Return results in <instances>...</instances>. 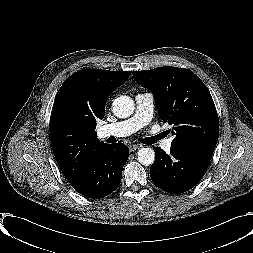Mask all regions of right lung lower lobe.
Wrapping results in <instances>:
<instances>
[{
    "mask_svg": "<svg viewBox=\"0 0 253 253\" xmlns=\"http://www.w3.org/2000/svg\"><path fill=\"white\" fill-rule=\"evenodd\" d=\"M128 156L129 149L123 143L102 145L71 185L89 198L99 199L109 195L120 185Z\"/></svg>",
    "mask_w": 253,
    "mask_h": 253,
    "instance_id": "obj_1",
    "label": "right lung lower lobe"
}]
</instances>
